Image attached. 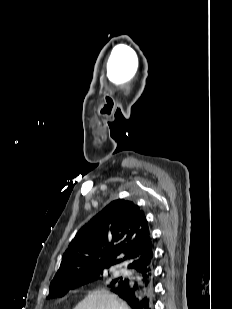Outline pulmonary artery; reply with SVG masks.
I'll list each match as a JSON object with an SVG mask.
<instances>
[{
    "label": "pulmonary artery",
    "mask_w": 232,
    "mask_h": 309,
    "mask_svg": "<svg viewBox=\"0 0 232 309\" xmlns=\"http://www.w3.org/2000/svg\"><path fill=\"white\" fill-rule=\"evenodd\" d=\"M120 272H121V273H126L127 270H126L125 268H122V269L120 270Z\"/></svg>",
    "instance_id": "1"
}]
</instances>
